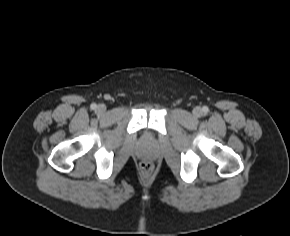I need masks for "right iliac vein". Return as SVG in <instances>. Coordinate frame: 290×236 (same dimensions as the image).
<instances>
[{
    "mask_svg": "<svg viewBox=\"0 0 290 236\" xmlns=\"http://www.w3.org/2000/svg\"><path fill=\"white\" fill-rule=\"evenodd\" d=\"M96 110H97L98 113L102 114V113H104L106 111V106L104 104H100V105L97 106Z\"/></svg>",
    "mask_w": 290,
    "mask_h": 236,
    "instance_id": "right-iliac-vein-1",
    "label": "right iliac vein"
}]
</instances>
